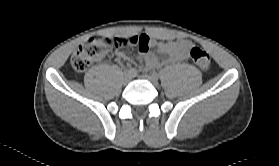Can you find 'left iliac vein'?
Instances as JSON below:
<instances>
[{"instance_id": "1", "label": "left iliac vein", "mask_w": 279, "mask_h": 166, "mask_svg": "<svg viewBox=\"0 0 279 166\" xmlns=\"http://www.w3.org/2000/svg\"><path fill=\"white\" fill-rule=\"evenodd\" d=\"M140 77L150 81L154 86L158 85V77H156L154 75H147V74H145V75H142Z\"/></svg>"}]
</instances>
